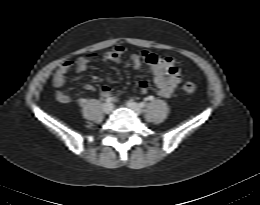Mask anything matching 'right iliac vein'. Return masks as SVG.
I'll list each match as a JSON object with an SVG mask.
<instances>
[{"instance_id": "right-iliac-vein-1", "label": "right iliac vein", "mask_w": 260, "mask_h": 205, "mask_svg": "<svg viewBox=\"0 0 260 205\" xmlns=\"http://www.w3.org/2000/svg\"><path fill=\"white\" fill-rule=\"evenodd\" d=\"M112 110H113V105L111 103L104 104L103 106L104 113L109 114L110 112H112Z\"/></svg>"}]
</instances>
